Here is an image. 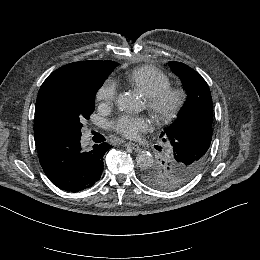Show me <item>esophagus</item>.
<instances>
[{
    "label": "esophagus",
    "mask_w": 260,
    "mask_h": 260,
    "mask_svg": "<svg viewBox=\"0 0 260 260\" xmlns=\"http://www.w3.org/2000/svg\"><path fill=\"white\" fill-rule=\"evenodd\" d=\"M126 145L135 150L136 152H141V148L134 142L129 141Z\"/></svg>",
    "instance_id": "obj_1"
}]
</instances>
